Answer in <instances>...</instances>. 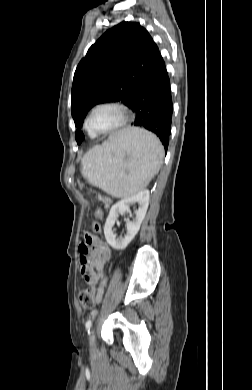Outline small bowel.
Listing matches in <instances>:
<instances>
[{"instance_id":"1","label":"small bowel","mask_w":252,"mask_h":390,"mask_svg":"<svg viewBox=\"0 0 252 390\" xmlns=\"http://www.w3.org/2000/svg\"><path fill=\"white\" fill-rule=\"evenodd\" d=\"M79 255L82 264V259L86 257V266L90 270L91 275L86 279L90 284H97L95 290V302L101 303L107 278L104 270L110 259V249L99 238L92 234H86L84 239L79 244Z\"/></svg>"}]
</instances>
